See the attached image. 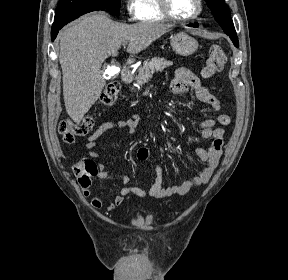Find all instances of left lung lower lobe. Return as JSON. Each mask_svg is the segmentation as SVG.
Wrapping results in <instances>:
<instances>
[{
  "instance_id": "obj_1",
  "label": "left lung lower lobe",
  "mask_w": 288,
  "mask_h": 280,
  "mask_svg": "<svg viewBox=\"0 0 288 280\" xmlns=\"http://www.w3.org/2000/svg\"><path fill=\"white\" fill-rule=\"evenodd\" d=\"M189 26L198 27V24H197V23H195V24H190Z\"/></svg>"
}]
</instances>
